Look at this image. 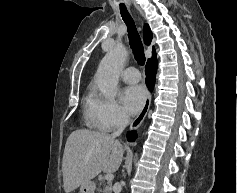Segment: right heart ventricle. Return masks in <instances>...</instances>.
Segmentation results:
<instances>
[{"instance_id":"right-heart-ventricle-1","label":"right heart ventricle","mask_w":237,"mask_h":193,"mask_svg":"<svg viewBox=\"0 0 237 193\" xmlns=\"http://www.w3.org/2000/svg\"><path fill=\"white\" fill-rule=\"evenodd\" d=\"M94 100H95L94 93L92 90H89L84 97L85 116L90 126L98 128L96 118L93 112Z\"/></svg>"}]
</instances>
